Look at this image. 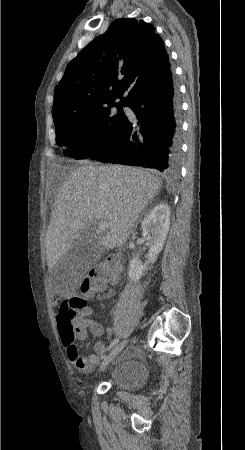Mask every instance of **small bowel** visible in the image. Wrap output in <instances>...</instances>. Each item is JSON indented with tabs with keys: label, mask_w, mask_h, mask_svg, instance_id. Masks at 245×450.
<instances>
[{
	"label": "small bowel",
	"mask_w": 245,
	"mask_h": 450,
	"mask_svg": "<svg viewBox=\"0 0 245 450\" xmlns=\"http://www.w3.org/2000/svg\"><path fill=\"white\" fill-rule=\"evenodd\" d=\"M114 295L113 289H107L106 286L96 287L93 290L85 293V297H95L101 296L105 298H110ZM79 309V318L84 325V331H78V338L83 340L86 336V331L89 330L94 336L101 337L104 333V327L100 322L91 320L93 311L89 307L77 306ZM67 349L68 358L80 369L86 370L93 367L99 359V356L103 355L105 352V345L101 340H98L95 344V353L90 354L88 357H82L79 353V344L75 341L72 343L63 342Z\"/></svg>",
	"instance_id": "1"
}]
</instances>
